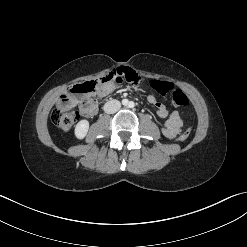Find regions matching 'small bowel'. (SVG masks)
<instances>
[{"label": "small bowel", "mask_w": 247, "mask_h": 247, "mask_svg": "<svg viewBox=\"0 0 247 247\" xmlns=\"http://www.w3.org/2000/svg\"><path fill=\"white\" fill-rule=\"evenodd\" d=\"M118 80L110 81L103 84L97 91L98 96L104 97L116 90L123 78H126L129 74L136 76L137 74L128 67L118 68L114 71ZM147 101L154 105L157 109V114L161 118L168 117L166 120L162 132L167 138H174L180 132L182 127V119L178 111H169L166 106L155 98L154 95H148ZM81 113L85 117H92L97 112V104L93 102L92 104H87L84 101L80 104Z\"/></svg>", "instance_id": "1"}]
</instances>
